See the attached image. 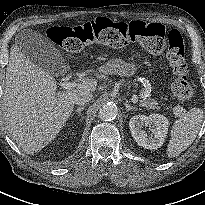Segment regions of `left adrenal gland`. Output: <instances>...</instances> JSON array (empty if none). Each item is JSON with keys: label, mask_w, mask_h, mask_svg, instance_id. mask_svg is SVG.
<instances>
[{"label": "left adrenal gland", "mask_w": 205, "mask_h": 205, "mask_svg": "<svg viewBox=\"0 0 205 205\" xmlns=\"http://www.w3.org/2000/svg\"><path fill=\"white\" fill-rule=\"evenodd\" d=\"M124 105H125L127 111H129V110H141L140 108L132 107V106L128 103V101H126V102L124 103Z\"/></svg>", "instance_id": "left-adrenal-gland-1"}]
</instances>
